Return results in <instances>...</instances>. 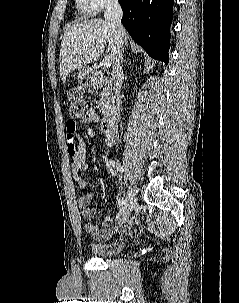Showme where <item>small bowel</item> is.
I'll use <instances>...</instances> for the list:
<instances>
[{
  "mask_svg": "<svg viewBox=\"0 0 239 303\" xmlns=\"http://www.w3.org/2000/svg\"><path fill=\"white\" fill-rule=\"evenodd\" d=\"M84 122L98 123L99 117L97 113L92 110L90 114L84 119ZM88 135L91 138L103 137V141L106 146L113 145L114 140L107 135L100 127L99 131L94 128L88 130ZM67 149L71 159L72 175L77 183L79 189L82 191L81 196L78 198V206L83 208L82 217L87 221L85 224V230L94 238L99 240L109 239L113 234L119 236H126L130 234L131 228L134 224L139 222L136 217H116L107 216L102 221V227L90 222V220L96 215L97 210L93 207H89V204L94 198L93 192L89 191L88 182L80 176V172L87 169V163L85 160L86 144L82 136L76 132V124L73 131L67 127ZM117 223V226L113 228V225Z\"/></svg>",
  "mask_w": 239,
  "mask_h": 303,
  "instance_id": "1",
  "label": "small bowel"
}]
</instances>
